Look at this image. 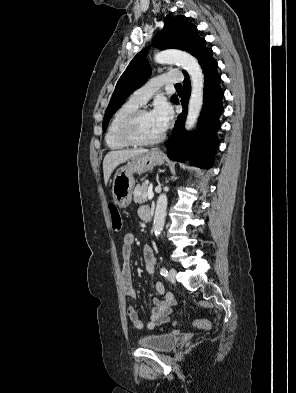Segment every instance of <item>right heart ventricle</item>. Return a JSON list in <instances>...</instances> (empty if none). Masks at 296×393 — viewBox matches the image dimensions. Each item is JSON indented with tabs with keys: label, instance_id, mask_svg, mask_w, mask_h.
Here are the masks:
<instances>
[{
	"label": "right heart ventricle",
	"instance_id": "1",
	"mask_svg": "<svg viewBox=\"0 0 296 393\" xmlns=\"http://www.w3.org/2000/svg\"><path fill=\"white\" fill-rule=\"evenodd\" d=\"M139 107L140 105L128 100L114 112L105 134V141L110 149L120 150L130 146L122 140L120 128L124 120Z\"/></svg>",
	"mask_w": 296,
	"mask_h": 393
}]
</instances>
